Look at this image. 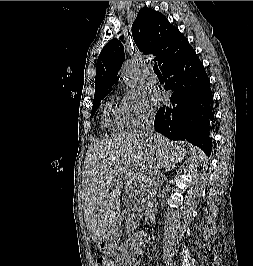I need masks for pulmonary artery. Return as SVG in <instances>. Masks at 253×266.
I'll return each instance as SVG.
<instances>
[{
    "instance_id": "pulmonary-artery-1",
    "label": "pulmonary artery",
    "mask_w": 253,
    "mask_h": 266,
    "mask_svg": "<svg viewBox=\"0 0 253 266\" xmlns=\"http://www.w3.org/2000/svg\"><path fill=\"white\" fill-rule=\"evenodd\" d=\"M146 76L148 78V80H150L153 83H157L158 82V78L157 75L154 73L153 69L151 66H148L146 68Z\"/></svg>"
}]
</instances>
